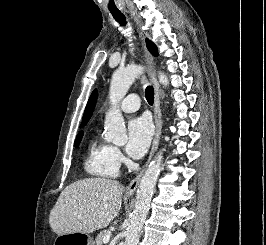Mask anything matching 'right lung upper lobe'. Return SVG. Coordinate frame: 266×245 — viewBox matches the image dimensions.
<instances>
[{"mask_svg": "<svg viewBox=\"0 0 266 245\" xmlns=\"http://www.w3.org/2000/svg\"><path fill=\"white\" fill-rule=\"evenodd\" d=\"M96 100H97V91L94 90L93 93L91 94L90 98H89L88 103H87L81 126L86 125V123L89 121V119L93 113V110H94V107L96 104Z\"/></svg>", "mask_w": 266, "mask_h": 245, "instance_id": "1", "label": "right lung upper lobe"}]
</instances>
